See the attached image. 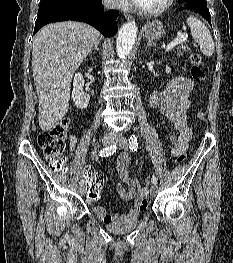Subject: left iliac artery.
Returning <instances> with one entry per match:
<instances>
[{
	"mask_svg": "<svg viewBox=\"0 0 233 263\" xmlns=\"http://www.w3.org/2000/svg\"><path fill=\"white\" fill-rule=\"evenodd\" d=\"M129 149L131 151H137L138 149V142H137V137L133 134L131 135V137L129 138ZM157 177L155 175H153L152 177V183L156 184L157 183Z\"/></svg>",
	"mask_w": 233,
	"mask_h": 263,
	"instance_id": "1",
	"label": "left iliac artery"
}]
</instances>
